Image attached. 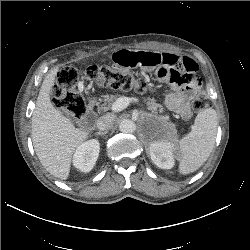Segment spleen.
I'll return each instance as SVG.
<instances>
[{
  "instance_id": "1",
  "label": "spleen",
  "mask_w": 250,
  "mask_h": 250,
  "mask_svg": "<svg viewBox=\"0 0 250 250\" xmlns=\"http://www.w3.org/2000/svg\"><path fill=\"white\" fill-rule=\"evenodd\" d=\"M217 113L212 108L201 110L191 132L179 143V172L187 175L198 170L209 158L217 134Z\"/></svg>"
}]
</instances>
